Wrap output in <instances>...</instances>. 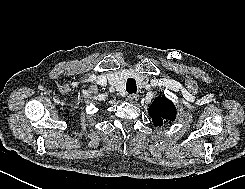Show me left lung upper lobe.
<instances>
[{"mask_svg":"<svg viewBox=\"0 0 245 189\" xmlns=\"http://www.w3.org/2000/svg\"><path fill=\"white\" fill-rule=\"evenodd\" d=\"M149 115L154 125L161 127L175 120L176 108L165 96H159L150 105Z\"/></svg>","mask_w":245,"mask_h":189,"instance_id":"obj_1","label":"left lung upper lobe"}]
</instances>
